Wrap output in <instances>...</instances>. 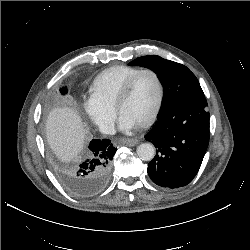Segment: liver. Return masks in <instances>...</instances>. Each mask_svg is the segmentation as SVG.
<instances>
[{
    "label": "liver",
    "mask_w": 250,
    "mask_h": 250,
    "mask_svg": "<svg viewBox=\"0 0 250 250\" xmlns=\"http://www.w3.org/2000/svg\"><path fill=\"white\" fill-rule=\"evenodd\" d=\"M47 141L63 162L77 158L84 146L85 131L77 111L69 107L54 108L46 123Z\"/></svg>",
    "instance_id": "1"
}]
</instances>
